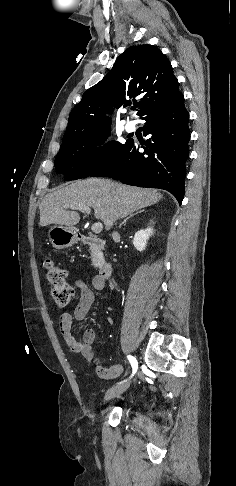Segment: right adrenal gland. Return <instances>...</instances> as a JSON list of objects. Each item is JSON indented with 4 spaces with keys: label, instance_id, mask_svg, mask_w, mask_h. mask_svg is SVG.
Here are the masks:
<instances>
[{
    "label": "right adrenal gland",
    "instance_id": "right-adrenal-gland-1",
    "mask_svg": "<svg viewBox=\"0 0 236 486\" xmlns=\"http://www.w3.org/2000/svg\"><path fill=\"white\" fill-rule=\"evenodd\" d=\"M142 212H144V210L136 211L135 213L130 214L128 217H126V218L124 219V221H123L122 223H120L119 228H121V227H122V226H123V225L126 223V221H127L128 219H130V218L134 217L135 215H137V214H139V213H142Z\"/></svg>",
    "mask_w": 236,
    "mask_h": 486
}]
</instances>
